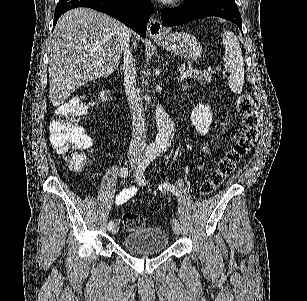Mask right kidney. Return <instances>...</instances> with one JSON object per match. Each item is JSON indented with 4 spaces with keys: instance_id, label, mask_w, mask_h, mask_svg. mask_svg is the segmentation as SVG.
Listing matches in <instances>:
<instances>
[{
    "instance_id": "ca27d5eb",
    "label": "right kidney",
    "mask_w": 307,
    "mask_h": 301,
    "mask_svg": "<svg viewBox=\"0 0 307 301\" xmlns=\"http://www.w3.org/2000/svg\"><path fill=\"white\" fill-rule=\"evenodd\" d=\"M99 96L101 98V100H112L113 96H112V92L111 90H101V92H99Z\"/></svg>"
}]
</instances>
